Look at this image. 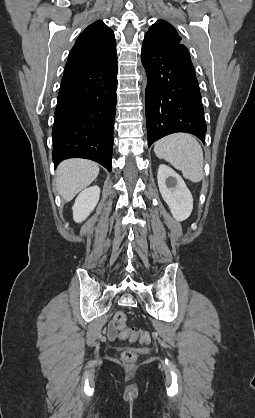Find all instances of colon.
<instances>
[{"label":"colon","instance_id":"colon-1","mask_svg":"<svg viewBox=\"0 0 255 418\" xmlns=\"http://www.w3.org/2000/svg\"><path fill=\"white\" fill-rule=\"evenodd\" d=\"M126 320V315L123 312H117L113 318L114 325L119 331V337L121 339H134L135 334L130 328L126 327ZM140 340L143 343H149L151 340L149 332H140ZM121 358L123 361L131 363L136 360L137 354L133 350H126L121 354Z\"/></svg>","mask_w":255,"mask_h":418}]
</instances>
